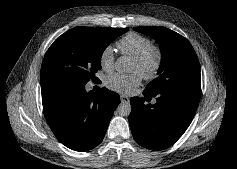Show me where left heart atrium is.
<instances>
[{
  "instance_id": "39dd6f15",
  "label": "left heart atrium",
  "mask_w": 237,
  "mask_h": 169,
  "mask_svg": "<svg viewBox=\"0 0 237 169\" xmlns=\"http://www.w3.org/2000/svg\"><path fill=\"white\" fill-rule=\"evenodd\" d=\"M141 82L138 72L130 74L114 73L107 78V86L120 93L128 94L132 92Z\"/></svg>"
}]
</instances>
